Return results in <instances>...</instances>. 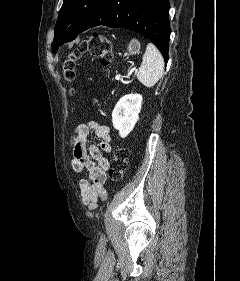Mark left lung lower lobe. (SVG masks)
<instances>
[{"label": "left lung lower lobe", "instance_id": "0a47b994", "mask_svg": "<svg viewBox=\"0 0 240 281\" xmlns=\"http://www.w3.org/2000/svg\"><path fill=\"white\" fill-rule=\"evenodd\" d=\"M169 8L168 0H103L80 33L99 25L133 30L149 39L167 63Z\"/></svg>", "mask_w": 240, "mask_h": 281}]
</instances>
